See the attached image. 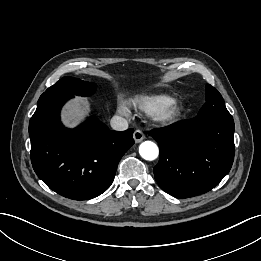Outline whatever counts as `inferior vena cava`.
Here are the masks:
<instances>
[{
    "label": "inferior vena cava",
    "mask_w": 261,
    "mask_h": 261,
    "mask_svg": "<svg viewBox=\"0 0 261 261\" xmlns=\"http://www.w3.org/2000/svg\"><path fill=\"white\" fill-rule=\"evenodd\" d=\"M111 127L116 131H124L128 129V122L121 116L114 115L110 121Z\"/></svg>",
    "instance_id": "1"
}]
</instances>
